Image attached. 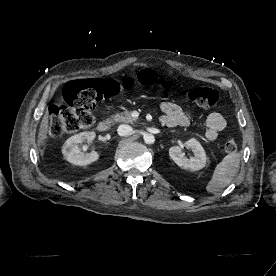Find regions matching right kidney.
Returning <instances> with one entry per match:
<instances>
[{"label":"right kidney","instance_id":"right-kidney-1","mask_svg":"<svg viewBox=\"0 0 276 276\" xmlns=\"http://www.w3.org/2000/svg\"><path fill=\"white\" fill-rule=\"evenodd\" d=\"M95 132H81L68 138L62 147V154L64 159L68 162L84 166L91 164L99 159V153L92 151L90 153H84L80 150V144L82 142H91L95 138Z\"/></svg>","mask_w":276,"mask_h":276}]
</instances>
